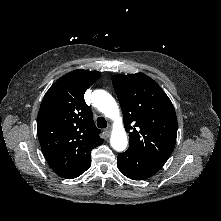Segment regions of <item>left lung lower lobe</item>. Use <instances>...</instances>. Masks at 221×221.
Masks as SVG:
<instances>
[{"label": "left lung lower lobe", "mask_w": 221, "mask_h": 221, "mask_svg": "<svg viewBox=\"0 0 221 221\" xmlns=\"http://www.w3.org/2000/svg\"><path fill=\"white\" fill-rule=\"evenodd\" d=\"M164 164L128 149L118 155L117 167L123 175L134 180H144L157 173Z\"/></svg>", "instance_id": "obj_1"}]
</instances>
